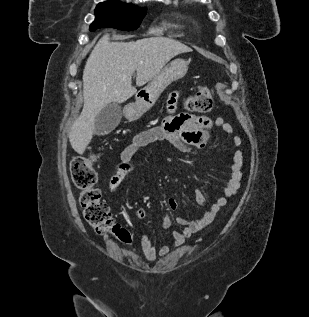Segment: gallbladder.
Masks as SVG:
<instances>
[{
    "instance_id": "1",
    "label": "gallbladder",
    "mask_w": 309,
    "mask_h": 317,
    "mask_svg": "<svg viewBox=\"0 0 309 317\" xmlns=\"http://www.w3.org/2000/svg\"><path fill=\"white\" fill-rule=\"evenodd\" d=\"M122 110L118 103L106 105L95 118V134L105 135L113 131L119 124Z\"/></svg>"
}]
</instances>
